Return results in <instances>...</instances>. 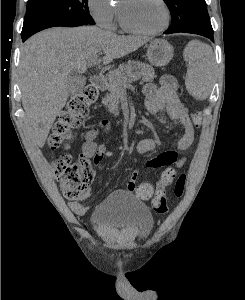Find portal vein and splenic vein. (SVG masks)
I'll list each match as a JSON object with an SVG mask.
<instances>
[{"mask_svg":"<svg viewBox=\"0 0 245 300\" xmlns=\"http://www.w3.org/2000/svg\"><path fill=\"white\" fill-rule=\"evenodd\" d=\"M96 61H97V57H95L94 59H92L91 61H89L88 62V66L91 67V66L95 65ZM131 77L135 78L134 75H131Z\"/></svg>","mask_w":245,"mask_h":300,"instance_id":"1","label":"portal vein and splenic vein"}]
</instances>
